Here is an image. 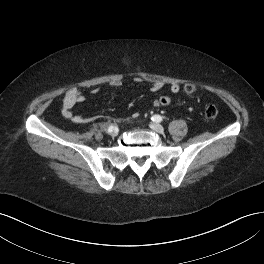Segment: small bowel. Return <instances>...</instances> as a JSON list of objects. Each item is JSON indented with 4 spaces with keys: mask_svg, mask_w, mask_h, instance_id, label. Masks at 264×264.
Wrapping results in <instances>:
<instances>
[{
    "mask_svg": "<svg viewBox=\"0 0 264 264\" xmlns=\"http://www.w3.org/2000/svg\"><path fill=\"white\" fill-rule=\"evenodd\" d=\"M135 82H141L142 79L137 77L134 79ZM122 85L121 80H112L110 82V86L112 87H119ZM164 87V82L160 80H156L152 82L150 86V90L152 92H158ZM170 90L172 93H178L180 91V86L178 84H172L170 86ZM97 89H93L92 92L95 93ZM85 101V97L82 94L81 90L79 88L73 87L66 91L64 98H63V104H62V116L72 120L75 123H87L90 121V118H83L79 115H75L73 113V108L78 103H83ZM154 106H159L158 100L154 102Z\"/></svg>",
    "mask_w": 264,
    "mask_h": 264,
    "instance_id": "obj_1",
    "label": "small bowel"
}]
</instances>
